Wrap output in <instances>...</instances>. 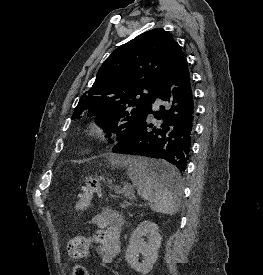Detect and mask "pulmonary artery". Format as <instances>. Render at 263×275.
<instances>
[{
	"label": "pulmonary artery",
	"instance_id": "1",
	"mask_svg": "<svg viewBox=\"0 0 263 275\" xmlns=\"http://www.w3.org/2000/svg\"><path fill=\"white\" fill-rule=\"evenodd\" d=\"M159 105H160V100H156L153 104V110H155V111L158 110Z\"/></svg>",
	"mask_w": 263,
	"mask_h": 275
}]
</instances>
